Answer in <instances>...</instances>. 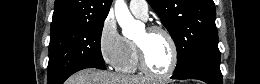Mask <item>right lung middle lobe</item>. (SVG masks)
<instances>
[{
  "instance_id": "1",
  "label": "right lung middle lobe",
  "mask_w": 260,
  "mask_h": 84,
  "mask_svg": "<svg viewBox=\"0 0 260 84\" xmlns=\"http://www.w3.org/2000/svg\"><path fill=\"white\" fill-rule=\"evenodd\" d=\"M104 20L86 21L51 33L48 84H62L71 74L85 69H106L100 48Z\"/></svg>"
}]
</instances>
